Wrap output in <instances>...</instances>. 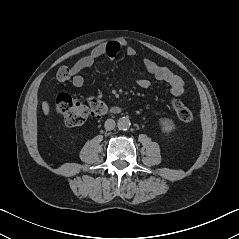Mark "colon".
<instances>
[{
  "label": "colon",
  "mask_w": 239,
  "mask_h": 239,
  "mask_svg": "<svg viewBox=\"0 0 239 239\" xmlns=\"http://www.w3.org/2000/svg\"><path fill=\"white\" fill-rule=\"evenodd\" d=\"M71 75V69L66 66L61 67L57 72V78L61 81L68 80ZM171 106L180 120L191 121L192 113L181 100L172 99ZM56 109L63 115L67 126L75 127L82 125L90 115L103 113L105 106L97 97L74 99L70 95L62 93L56 98Z\"/></svg>",
  "instance_id": "1"
}]
</instances>
